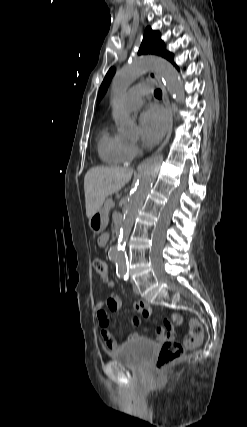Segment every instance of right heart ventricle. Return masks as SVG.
<instances>
[{
	"label": "right heart ventricle",
	"instance_id": "e07e8e85",
	"mask_svg": "<svg viewBox=\"0 0 247 427\" xmlns=\"http://www.w3.org/2000/svg\"><path fill=\"white\" fill-rule=\"evenodd\" d=\"M97 148L102 161L110 165L124 164L132 157L129 142L108 128L100 132Z\"/></svg>",
	"mask_w": 247,
	"mask_h": 427
}]
</instances>
